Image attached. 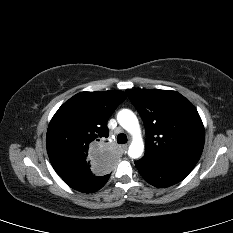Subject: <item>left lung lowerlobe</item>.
Wrapping results in <instances>:
<instances>
[{"mask_svg":"<svg viewBox=\"0 0 233 233\" xmlns=\"http://www.w3.org/2000/svg\"><path fill=\"white\" fill-rule=\"evenodd\" d=\"M196 163L183 159H153L143 156L135 165L148 183L164 188L182 181Z\"/></svg>","mask_w":233,"mask_h":233,"instance_id":"obj_1","label":"left lung lower lobe"}]
</instances>
